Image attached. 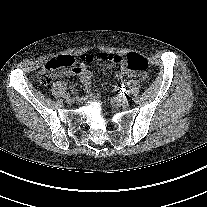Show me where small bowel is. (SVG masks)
I'll return each mask as SVG.
<instances>
[{"mask_svg":"<svg viewBox=\"0 0 207 207\" xmlns=\"http://www.w3.org/2000/svg\"><path fill=\"white\" fill-rule=\"evenodd\" d=\"M70 75L79 76L85 90L86 91L91 90L93 75H92L91 71L87 68V66L82 65L81 67H79L75 71H65V72L60 73V76H70ZM123 77H129V78L138 77L141 80H144L146 78L145 74H137V73L131 72L130 70L126 69L125 67H121L116 72V78L118 80H121Z\"/></svg>","mask_w":207,"mask_h":207,"instance_id":"c3829d8e","label":"small bowel"}]
</instances>
